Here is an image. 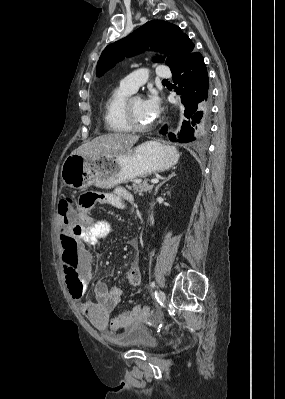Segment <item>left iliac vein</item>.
<instances>
[{"label":"left iliac vein","mask_w":285,"mask_h":399,"mask_svg":"<svg viewBox=\"0 0 285 399\" xmlns=\"http://www.w3.org/2000/svg\"><path fill=\"white\" fill-rule=\"evenodd\" d=\"M165 298H166L165 293L162 290H160L159 291V300H160V302L164 303L165 302Z\"/></svg>","instance_id":"1"}]
</instances>
